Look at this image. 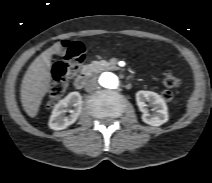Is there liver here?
I'll list each match as a JSON object with an SVG mask.
<instances>
[{"label":"liver","mask_w":212,"mask_h":183,"mask_svg":"<svg viewBox=\"0 0 212 183\" xmlns=\"http://www.w3.org/2000/svg\"><path fill=\"white\" fill-rule=\"evenodd\" d=\"M61 43L41 53L29 66L21 84V103L30 117H35L39 111L43 97L51 82V56L61 50Z\"/></svg>","instance_id":"6515ba94"}]
</instances>
